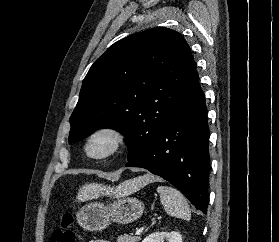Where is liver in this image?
<instances>
[{
  "label": "liver",
  "instance_id": "1",
  "mask_svg": "<svg viewBox=\"0 0 279 242\" xmlns=\"http://www.w3.org/2000/svg\"><path fill=\"white\" fill-rule=\"evenodd\" d=\"M152 181H154L153 177L149 175H144L143 177H139L137 179L125 182L123 184V189L125 193H134ZM108 190L109 188H106L102 184H85L82 188H80L77 199L82 201L88 200L93 197H98L101 193H103V191Z\"/></svg>",
  "mask_w": 279,
  "mask_h": 242
}]
</instances>
